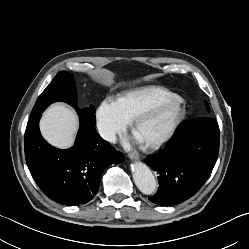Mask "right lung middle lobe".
Here are the masks:
<instances>
[{
    "label": "right lung middle lobe",
    "mask_w": 249,
    "mask_h": 249,
    "mask_svg": "<svg viewBox=\"0 0 249 249\" xmlns=\"http://www.w3.org/2000/svg\"><path fill=\"white\" fill-rule=\"evenodd\" d=\"M76 98L73 74L61 71L39 96L30 117L38 112H43L47 106L56 101H64L76 107ZM76 110L81 120L95 125V108L93 105L83 109L76 108Z\"/></svg>",
    "instance_id": "1"
}]
</instances>
